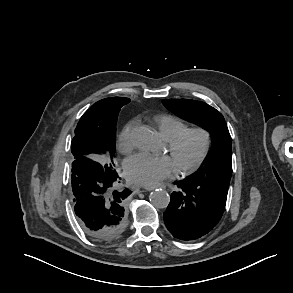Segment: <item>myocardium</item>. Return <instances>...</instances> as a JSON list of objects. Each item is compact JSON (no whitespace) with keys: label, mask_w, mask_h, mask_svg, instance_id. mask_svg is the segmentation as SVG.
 <instances>
[{"label":"myocardium","mask_w":293,"mask_h":293,"mask_svg":"<svg viewBox=\"0 0 293 293\" xmlns=\"http://www.w3.org/2000/svg\"><path fill=\"white\" fill-rule=\"evenodd\" d=\"M198 135L201 138V148L195 157V159L188 165L177 169V173L187 175L196 171L206 159L212 145L211 133L204 127H190L176 135L171 140L167 141L168 149L170 153L175 152L184 143V141L192 136Z\"/></svg>","instance_id":"f54148a6"}]
</instances>
